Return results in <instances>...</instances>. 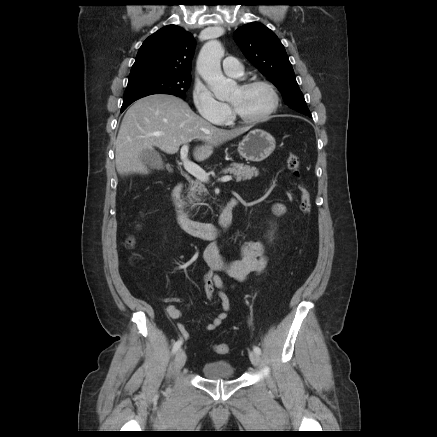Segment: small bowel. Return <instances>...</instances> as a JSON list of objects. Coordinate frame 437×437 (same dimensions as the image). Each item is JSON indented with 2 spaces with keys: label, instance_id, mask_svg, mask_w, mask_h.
Segmentation results:
<instances>
[{
  "label": "small bowel",
  "instance_id": "obj_1",
  "mask_svg": "<svg viewBox=\"0 0 437 437\" xmlns=\"http://www.w3.org/2000/svg\"><path fill=\"white\" fill-rule=\"evenodd\" d=\"M273 211L276 215L281 216L285 212V207L281 203H276L273 206ZM206 260L210 270L204 277L205 293L209 300L213 299L214 289L217 288V296L221 302V312L205 326V330L213 331L217 329L228 317L230 312V302L226 294L225 285L219 275L215 272H224L236 281H244L250 274L260 273L264 270L267 263L266 251L264 244L260 241H246L241 248L240 259L233 261H225L218 252L216 246H211L206 253ZM168 315L172 319L182 317V311L173 304V299L169 300L166 308ZM178 330L185 340L190 336L188 330L183 324H178Z\"/></svg>",
  "mask_w": 437,
  "mask_h": 437
}]
</instances>
